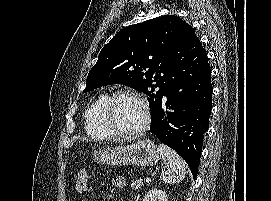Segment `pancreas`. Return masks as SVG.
I'll return each instance as SVG.
<instances>
[{
    "instance_id": "cf45deb5",
    "label": "pancreas",
    "mask_w": 271,
    "mask_h": 201,
    "mask_svg": "<svg viewBox=\"0 0 271 201\" xmlns=\"http://www.w3.org/2000/svg\"><path fill=\"white\" fill-rule=\"evenodd\" d=\"M142 186H144L142 179L135 180L131 183V187L135 190H140Z\"/></svg>"
}]
</instances>
